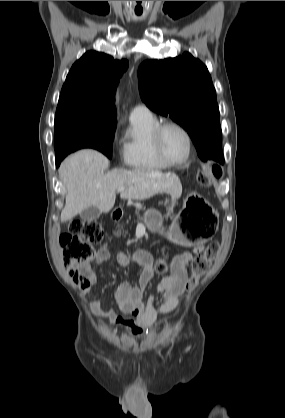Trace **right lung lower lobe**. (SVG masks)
<instances>
[{
	"mask_svg": "<svg viewBox=\"0 0 285 418\" xmlns=\"http://www.w3.org/2000/svg\"><path fill=\"white\" fill-rule=\"evenodd\" d=\"M64 158H59V159H56V166H59L60 165V163H61V161L63 160Z\"/></svg>",
	"mask_w": 285,
	"mask_h": 418,
	"instance_id": "98d812e1",
	"label": "right lung lower lobe"
}]
</instances>
